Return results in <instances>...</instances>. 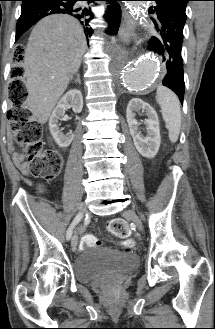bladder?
Wrapping results in <instances>:
<instances>
[{"instance_id": "31cf9c89", "label": "bladder", "mask_w": 215, "mask_h": 329, "mask_svg": "<svg viewBox=\"0 0 215 329\" xmlns=\"http://www.w3.org/2000/svg\"><path fill=\"white\" fill-rule=\"evenodd\" d=\"M139 258L110 251L106 248H85L74 261L76 278L82 283H90L107 273H126L135 270Z\"/></svg>"}]
</instances>
